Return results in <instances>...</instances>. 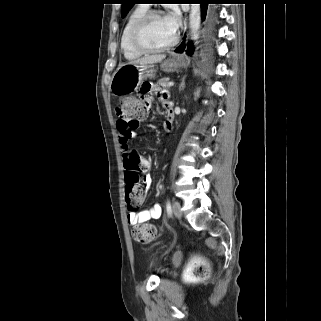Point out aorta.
I'll list each match as a JSON object with an SVG mask.
<instances>
[{"instance_id":"aorta-1","label":"aorta","mask_w":321,"mask_h":321,"mask_svg":"<svg viewBox=\"0 0 321 321\" xmlns=\"http://www.w3.org/2000/svg\"><path fill=\"white\" fill-rule=\"evenodd\" d=\"M201 22V7L200 4H191V11L189 16V28L191 39L196 40Z\"/></svg>"}]
</instances>
